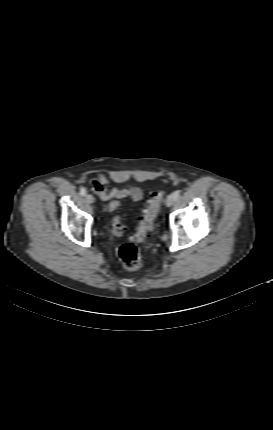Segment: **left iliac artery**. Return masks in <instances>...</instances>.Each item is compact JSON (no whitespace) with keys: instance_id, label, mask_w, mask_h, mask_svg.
<instances>
[{"instance_id":"1","label":"left iliac artery","mask_w":273,"mask_h":430,"mask_svg":"<svg viewBox=\"0 0 273 430\" xmlns=\"http://www.w3.org/2000/svg\"><path fill=\"white\" fill-rule=\"evenodd\" d=\"M180 190H176V191H174L173 193H172V195H173V197L175 198V199H177L179 196H180Z\"/></svg>"}]
</instances>
